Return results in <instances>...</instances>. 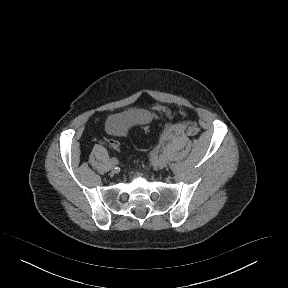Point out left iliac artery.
<instances>
[{"instance_id": "1", "label": "left iliac artery", "mask_w": 288, "mask_h": 288, "mask_svg": "<svg viewBox=\"0 0 288 288\" xmlns=\"http://www.w3.org/2000/svg\"><path fill=\"white\" fill-rule=\"evenodd\" d=\"M159 157H163V154H162V153H159Z\"/></svg>"}]
</instances>
